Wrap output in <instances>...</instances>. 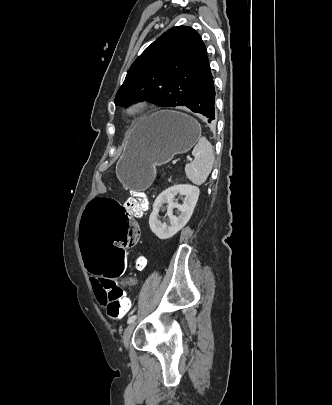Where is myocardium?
Here are the masks:
<instances>
[{"mask_svg":"<svg viewBox=\"0 0 332 405\" xmlns=\"http://www.w3.org/2000/svg\"><path fill=\"white\" fill-rule=\"evenodd\" d=\"M148 108V102L145 99H133L124 107V114L129 118H137L143 115Z\"/></svg>","mask_w":332,"mask_h":405,"instance_id":"f54148a6","label":"myocardium"}]
</instances>
